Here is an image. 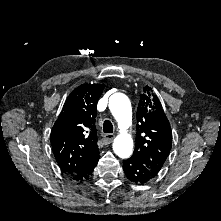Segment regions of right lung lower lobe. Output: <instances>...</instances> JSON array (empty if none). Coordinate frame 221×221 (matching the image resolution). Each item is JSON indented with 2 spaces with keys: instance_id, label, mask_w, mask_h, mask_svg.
<instances>
[{
  "instance_id": "obj_1",
  "label": "right lung lower lobe",
  "mask_w": 221,
  "mask_h": 221,
  "mask_svg": "<svg viewBox=\"0 0 221 221\" xmlns=\"http://www.w3.org/2000/svg\"><path fill=\"white\" fill-rule=\"evenodd\" d=\"M100 156L99 154L93 159V161L89 164V166H87L83 171L75 174L74 176L70 177L72 180L76 181V182H82L87 180L91 175L92 172L99 160Z\"/></svg>"
}]
</instances>
